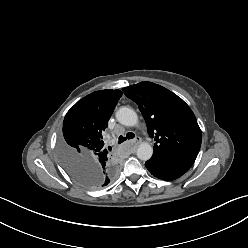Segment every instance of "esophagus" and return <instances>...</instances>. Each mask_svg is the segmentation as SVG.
<instances>
[{
	"label": "esophagus",
	"mask_w": 248,
	"mask_h": 248,
	"mask_svg": "<svg viewBox=\"0 0 248 248\" xmlns=\"http://www.w3.org/2000/svg\"><path fill=\"white\" fill-rule=\"evenodd\" d=\"M140 142H141L140 137L135 138L133 141H131V148L136 149V147L139 145Z\"/></svg>",
	"instance_id": "esophagus-1"
}]
</instances>
